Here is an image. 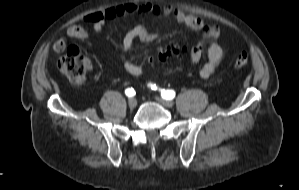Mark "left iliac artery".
<instances>
[{
  "label": "left iliac artery",
  "instance_id": "44dca946",
  "mask_svg": "<svg viewBox=\"0 0 299 190\" xmlns=\"http://www.w3.org/2000/svg\"><path fill=\"white\" fill-rule=\"evenodd\" d=\"M150 87L153 90L157 89L156 84H150ZM161 96H162L163 99L172 100L175 97V91L174 90L161 89Z\"/></svg>",
  "mask_w": 299,
  "mask_h": 190
}]
</instances>
